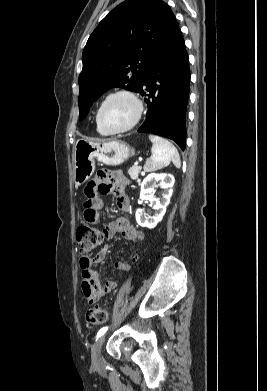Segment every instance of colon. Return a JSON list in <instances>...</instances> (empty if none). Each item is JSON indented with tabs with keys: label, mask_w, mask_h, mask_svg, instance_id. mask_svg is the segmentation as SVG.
<instances>
[{
	"label": "colon",
	"mask_w": 267,
	"mask_h": 391,
	"mask_svg": "<svg viewBox=\"0 0 267 391\" xmlns=\"http://www.w3.org/2000/svg\"><path fill=\"white\" fill-rule=\"evenodd\" d=\"M103 232L92 225L83 224L76 230V239L79 244L80 254L87 260L88 256L100 245ZM108 318L107 311L100 306H95L87 310L85 320L88 325L103 324Z\"/></svg>",
	"instance_id": "colon-1"
}]
</instances>
